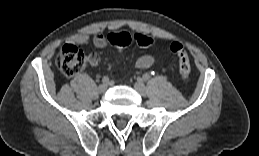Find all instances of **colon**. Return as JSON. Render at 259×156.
Here are the masks:
<instances>
[{
	"label": "colon",
	"instance_id": "5ec220e1",
	"mask_svg": "<svg viewBox=\"0 0 259 156\" xmlns=\"http://www.w3.org/2000/svg\"><path fill=\"white\" fill-rule=\"evenodd\" d=\"M109 41L119 50L126 48L132 43L142 47L149 48L153 44L152 38L142 33H111L108 35ZM170 51L178 57L179 72L181 78L186 81L189 78L191 65L188 54L184 46L179 42L170 44ZM87 64L84 53L72 44L64 45L57 55V65L65 77H72L82 71Z\"/></svg>",
	"mask_w": 259,
	"mask_h": 156
}]
</instances>
